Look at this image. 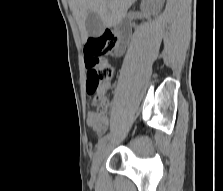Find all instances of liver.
<instances>
[{"mask_svg": "<svg viewBox=\"0 0 223 191\" xmlns=\"http://www.w3.org/2000/svg\"><path fill=\"white\" fill-rule=\"evenodd\" d=\"M136 0H69L70 10L75 17L83 41L88 38L85 21L90 12L100 16L107 28L121 22Z\"/></svg>", "mask_w": 223, "mask_h": 191, "instance_id": "obj_1", "label": "liver"}]
</instances>
